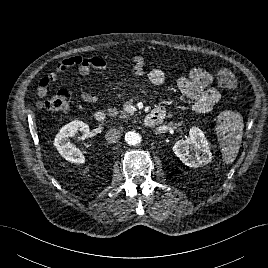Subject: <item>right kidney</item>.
<instances>
[{"label":"right kidney","mask_w":268,"mask_h":268,"mask_svg":"<svg viewBox=\"0 0 268 268\" xmlns=\"http://www.w3.org/2000/svg\"><path fill=\"white\" fill-rule=\"evenodd\" d=\"M78 131L83 134L82 139H85L90 132L89 126L78 120H74L64 125L54 139V146L60 155L67 161L75 164H83L85 163V156L68 140L69 137L75 136Z\"/></svg>","instance_id":"ca27d5eb"}]
</instances>
